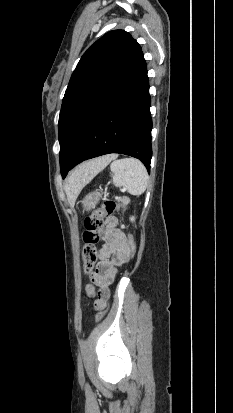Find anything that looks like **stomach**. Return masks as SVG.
<instances>
[{"instance_id": "stomach-1", "label": "stomach", "mask_w": 233, "mask_h": 413, "mask_svg": "<svg viewBox=\"0 0 233 413\" xmlns=\"http://www.w3.org/2000/svg\"><path fill=\"white\" fill-rule=\"evenodd\" d=\"M102 194L98 191H94L88 194L83 200V208L86 211L94 209L99 202Z\"/></svg>"}]
</instances>
